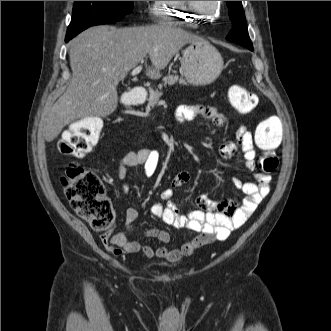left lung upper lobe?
<instances>
[{
	"label": "left lung upper lobe",
	"instance_id": "left-lung-upper-lobe-1",
	"mask_svg": "<svg viewBox=\"0 0 331 331\" xmlns=\"http://www.w3.org/2000/svg\"><path fill=\"white\" fill-rule=\"evenodd\" d=\"M227 6L229 8V17L232 21V29L226 39L253 50L241 1H227Z\"/></svg>",
	"mask_w": 331,
	"mask_h": 331
}]
</instances>
